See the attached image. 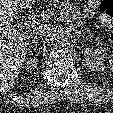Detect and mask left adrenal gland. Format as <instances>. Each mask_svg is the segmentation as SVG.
<instances>
[{"label":"left adrenal gland","instance_id":"a2214340","mask_svg":"<svg viewBox=\"0 0 113 113\" xmlns=\"http://www.w3.org/2000/svg\"><path fill=\"white\" fill-rule=\"evenodd\" d=\"M75 35L79 38V37H81V36H85V33L83 32H81V31H75Z\"/></svg>","mask_w":113,"mask_h":113}]
</instances>
